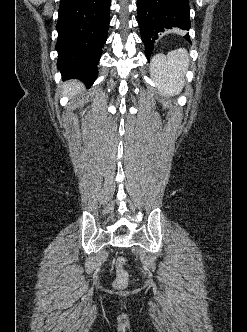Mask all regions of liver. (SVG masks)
Segmentation results:
<instances>
[{"label": "liver", "instance_id": "1", "mask_svg": "<svg viewBox=\"0 0 247 332\" xmlns=\"http://www.w3.org/2000/svg\"><path fill=\"white\" fill-rule=\"evenodd\" d=\"M83 86L78 81H69L64 85V94L65 95H77L81 92Z\"/></svg>", "mask_w": 247, "mask_h": 332}]
</instances>
